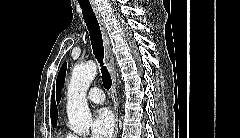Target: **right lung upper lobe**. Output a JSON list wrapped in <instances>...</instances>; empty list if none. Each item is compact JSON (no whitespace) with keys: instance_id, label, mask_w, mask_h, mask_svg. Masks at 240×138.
Here are the masks:
<instances>
[{"instance_id":"right-lung-upper-lobe-1","label":"right lung upper lobe","mask_w":240,"mask_h":138,"mask_svg":"<svg viewBox=\"0 0 240 138\" xmlns=\"http://www.w3.org/2000/svg\"><path fill=\"white\" fill-rule=\"evenodd\" d=\"M56 108H57V106L55 104L54 91H53L52 98H51V109H50L52 125H56L57 124L58 112H57Z\"/></svg>"}]
</instances>
